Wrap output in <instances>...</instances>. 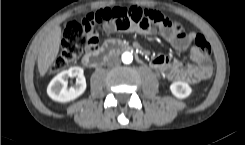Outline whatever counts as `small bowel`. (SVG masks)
Returning <instances> with one entry per match:
<instances>
[{
    "instance_id": "small-bowel-1",
    "label": "small bowel",
    "mask_w": 245,
    "mask_h": 145,
    "mask_svg": "<svg viewBox=\"0 0 245 145\" xmlns=\"http://www.w3.org/2000/svg\"><path fill=\"white\" fill-rule=\"evenodd\" d=\"M103 29L106 33H111L115 30V26L111 22H105ZM142 34H149L150 31H137ZM159 34L177 51H184L189 43L195 37V33H185L182 27L176 31L172 26L164 25ZM190 58L195 63L194 65L184 64L179 60H171L166 56H156L152 60V66L163 72L168 80L186 79L191 83H196L204 78V69L208 64V59L204 57L195 47L191 49Z\"/></svg>"
}]
</instances>
